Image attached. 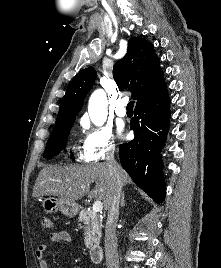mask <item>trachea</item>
I'll return each instance as SVG.
<instances>
[{"mask_svg":"<svg viewBox=\"0 0 221 268\" xmlns=\"http://www.w3.org/2000/svg\"><path fill=\"white\" fill-rule=\"evenodd\" d=\"M133 107H134V101H130L127 105V109L129 110H133Z\"/></svg>","mask_w":221,"mask_h":268,"instance_id":"1","label":"trachea"}]
</instances>
